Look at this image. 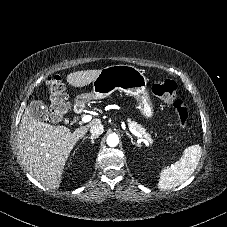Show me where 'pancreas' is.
<instances>
[{
	"label": "pancreas",
	"mask_w": 227,
	"mask_h": 227,
	"mask_svg": "<svg viewBox=\"0 0 227 227\" xmlns=\"http://www.w3.org/2000/svg\"><path fill=\"white\" fill-rule=\"evenodd\" d=\"M128 122H129V126L134 128L135 130L141 132L143 135L146 136V138L151 142L153 143V139L151 138V135L146 132V129L142 127V125L138 124L137 122L135 121H131L130 119H128Z\"/></svg>",
	"instance_id": "obj_1"
}]
</instances>
